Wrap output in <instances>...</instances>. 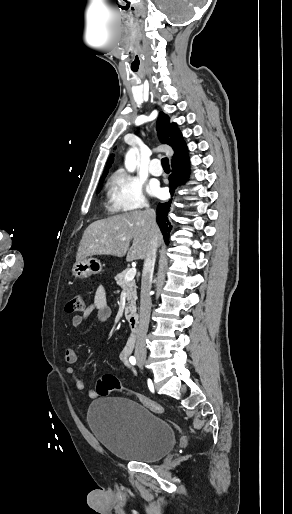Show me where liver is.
Returning <instances> with one entry per match:
<instances>
[{"instance_id": "1", "label": "liver", "mask_w": 292, "mask_h": 514, "mask_svg": "<svg viewBox=\"0 0 292 514\" xmlns=\"http://www.w3.org/2000/svg\"><path fill=\"white\" fill-rule=\"evenodd\" d=\"M150 218L145 212L136 210L105 220H97L86 228L79 244L76 262L87 256H118L127 254L126 262L145 260L149 242L153 236L162 244V234L158 228H149ZM130 240H133L131 248Z\"/></svg>"}]
</instances>
